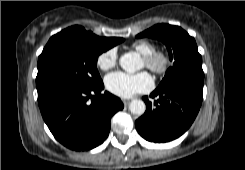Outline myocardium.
Here are the masks:
<instances>
[{
  "instance_id": "f54148a6",
  "label": "myocardium",
  "mask_w": 245,
  "mask_h": 170,
  "mask_svg": "<svg viewBox=\"0 0 245 170\" xmlns=\"http://www.w3.org/2000/svg\"><path fill=\"white\" fill-rule=\"evenodd\" d=\"M145 66L156 74H164L171 65V57L165 51L156 50L153 53L143 56Z\"/></svg>"
}]
</instances>
